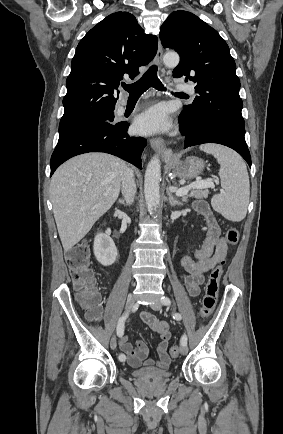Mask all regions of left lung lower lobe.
Returning a JSON list of instances; mask_svg holds the SVG:
<instances>
[{"label": "left lung lower lobe", "instance_id": "left-lung-lower-lobe-1", "mask_svg": "<svg viewBox=\"0 0 283 434\" xmlns=\"http://www.w3.org/2000/svg\"><path fill=\"white\" fill-rule=\"evenodd\" d=\"M181 133L185 136V148L204 144L217 143L234 149L251 167V157L245 141V128L227 120H212L189 131L179 118Z\"/></svg>", "mask_w": 283, "mask_h": 434}]
</instances>
